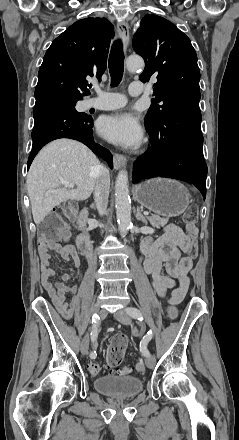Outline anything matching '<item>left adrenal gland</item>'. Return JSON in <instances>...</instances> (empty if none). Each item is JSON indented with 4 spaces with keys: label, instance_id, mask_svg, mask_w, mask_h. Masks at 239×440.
I'll use <instances>...</instances> for the list:
<instances>
[{
    "label": "left adrenal gland",
    "instance_id": "a2214340",
    "mask_svg": "<svg viewBox=\"0 0 239 440\" xmlns=\"http://www.w3.org/2000/svg\"><path fill=\"white\" fill-rule=\"evenodd\" d=\"M135 218H136V220H141V222H144V224H148L146 218H144L143 214H141L140 208H137Z\"/></svg>",
    "mask_w": 239,
    "mask_h": 440
}]
</instances>
